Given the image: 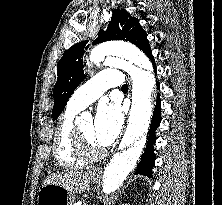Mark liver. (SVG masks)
Wrapping results in <instances>:
<instances>
[{
    "mask_svg": "<svg viewBox=\"0 0 222 205\" xmlns=\"http://www.w3.org/2000/svg\"><path fill=\"white\" fill-rule=\"evenodd\" d=\"M93 173L67 171L62 173H55L45 180L46 184H57L65 188L71 193H82L89 190L90 181L92 180Z\"/></svg>",
    "mask_w": 222,
    "mask_h": 205,
    "instance_id": "liver-1",
    "label": "liver"
}]
</instances>
